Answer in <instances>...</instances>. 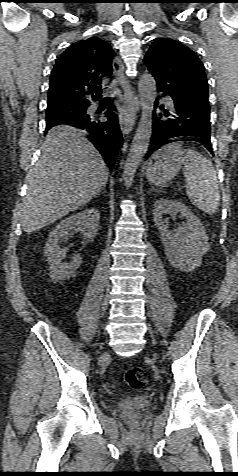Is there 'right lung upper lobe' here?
I'll use <instances>...</instances> for the list:
<instances>
[{
    "label": "right lung upper lobe",
    "instance_id": "obj_1",
    "mask_svg": "<svg viewBox=\"0 0 238 476\" xmlns=\"http://www.w3.org/2000/svg\"><path fill=\"white\" fill-rule=\"evenodd\" d=\"M115 53L104 40L91 37L73 43L57 59L50 77L48 106L88 107V95H102L101 79L111 75Z\"/></svg>",
    "mask_w": 238,
    "mask_h": 476
}]
</instances>
